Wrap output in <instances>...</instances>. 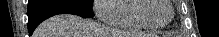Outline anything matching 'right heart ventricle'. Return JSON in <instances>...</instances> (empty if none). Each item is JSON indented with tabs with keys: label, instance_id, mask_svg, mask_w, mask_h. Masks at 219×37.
I'll return each mask as SVG.
<instances>
[{
	"label": "right heart ventricle",
	"instance_id": "right-heart-ventricle-1",
	"mask_svg": "<svg viewBox=\"0 0 219 37\" xmlns=\"http://www.w3.org/2000/svg\"><path fill=\"white\" fill-rule=\"evenodd\" d=\"M138 0H121L117 7L118 18L113 24L116 27L135 30H152L154 28L145 25L135 13Z\"/></svg>",
	"mask_w": 219,
	"mask_h": 37
}]
</instances>
